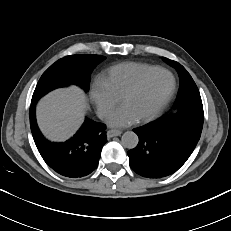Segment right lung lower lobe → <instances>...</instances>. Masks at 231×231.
<instances>
[{"instance_id": "1", "label": "right lung lower lobe", "mask_w": 231, "mask_h": 231, "mask_svg": "<svg viewBox=\"0 0 231 231\" xmlns=\"http://www.w3.org/2000/svg\"><path fill=\"white\" fill-rule=\"evenodd\" d=\"M30 126L42 158L60 175L78 178L96 169L102 147L107 141L104 124L86 118L80 130L70 140L52 143L40 132L36 123L35 104H31Z\"/></svg>"}]
</instances>
